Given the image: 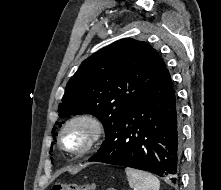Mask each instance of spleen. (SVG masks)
<instances>
[{
    "mask_svg": "<svg viewBox=\"0 0 221 190\" xmlns=\"http://www.w3.org/2000/svg\"><path fill=\"white\" fill-rule=\"evenodd\" d=\"M129 186L133 190H159L160 182L154 175L130 167L125 169Z\"/></svg>",
    "mask_w": 221,
    "mask_h": 190,
    "instance_id": "spleen-1",
    "label": "spleen"
}]
</instances>
